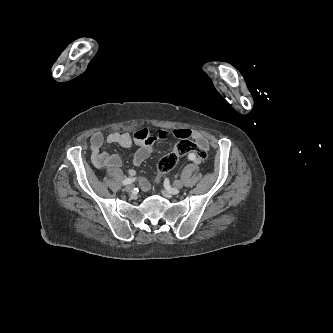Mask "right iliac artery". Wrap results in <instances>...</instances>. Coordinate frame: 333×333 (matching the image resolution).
Instances as JSON below:
<instances>
[{
    "instance_id": "right-iliac-artery-1",
    "label": "right iliac artery",
    "mask_w": 333,
    "mask_h": 333,
    "mask_svg": "<svg viewBox=\"0 0 333 333\" xmlns=\"http://www.w3.org/2000/svg\"><path fill=\"white\" fill-rule=\"evenodd\" d=\"M133 181H135V178H125L122 182L123 185L131 184Z\"/></svg>"
}]
</instances>
